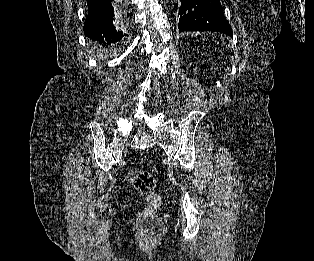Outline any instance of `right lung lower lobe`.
<instances>
[{"label": "right lung lower lobe", "instance_id": "98d812e1", "mask_svg": "<svg viewBox=\"0 0 314 261\" xmlns=\"http://www.w3.org/2000/svg\"><path fill=\"white\" fill-rule=\"evenodd\" d=\"M119 2L120 0H87L85 36L106 46L119 43L124 37L118 22Z\"/></svg>", "mask_w": 314, "mask_h": 261}]
</instances>
